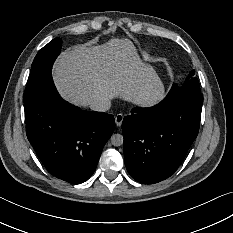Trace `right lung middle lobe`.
I'll use <instances>...</instances> for the list:
<instances>
[{"instance_id": "dd1d6c3e", "label": "right lung middle lobe", "mask_w": 233, "mask_h": 233, "mask_svg": "<svg viewBox=\"0 0 233 233\" xmlns=\"http://www.w3.org/2000/svg\"><path fill=\"white\" fill-rule=\"evenodd\" d=\"M61 39L55 38L45 45L36 55L25 89V99L40 90L52 79V65L60 53Z\"/></svg>"}]
</instances>
